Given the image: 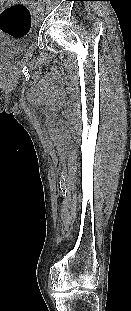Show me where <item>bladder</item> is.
Listing matches in <instances>:
<instances>
[{
  "instance_id": "31cf9c89",
  "label": "bladder",
  "mask_w": 131,
  "mask_h": 311,
  "mask_svg": "<svg viewBox=\"0 0 131 311\" xmlns=\"http://www.w3.org/2000/svg\"><path fill=\"white\" fill-rule=\"evenodd\" d=\"M24 44L5 42L0 39V54L6 57H14L24 50Z\"/></svg>"
}]
</instances>
